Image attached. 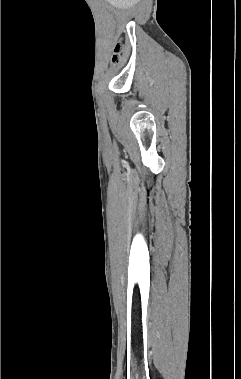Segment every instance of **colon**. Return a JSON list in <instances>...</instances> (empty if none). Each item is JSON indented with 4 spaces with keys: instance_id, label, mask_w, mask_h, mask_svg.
<instances>
[{
    "instance_id": "5ec220e1",
    "label": "colon",
    "mask_w": 241,
    "mask_h": 379,
    "mask_svg": "<svg viewBox=\"0 0 241 379\" xmlns=\"http://www.w3.org/2000/svg\"><path fill=\"white\" fill-rule=\"evenodd\" d=\"M122 60V49L121 44L117 43L114 47L113 55H112V63L115 65L120 64Z\"/></svg>"
}]
</instances>
